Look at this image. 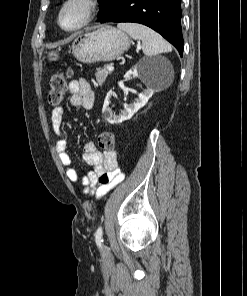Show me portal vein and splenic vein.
Returning a JSON list of instances; mask_svg holds the SVG:
<instances>
[{
    "instance_id": "obj_1",
    "label": "portal vein and splenic vein",
    "mask_w": 247,
    "mask_h": 296,
    "mask_svg": "<svg viewBox=\"0 0 247 296\" xmlns=\"http://www.w3.org/2000/svg\"><path fill=\"white\" fill-rule=\"evenodd\" d=\"M107 70H108V71H113V70H114L113 65H108Z\"/></svg>"
}]
</instances>
